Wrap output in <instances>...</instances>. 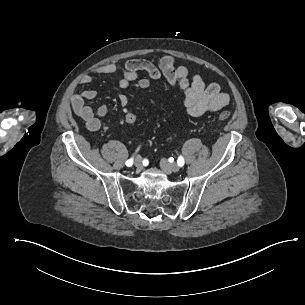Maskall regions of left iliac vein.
<instances>
[{
	"label": "left iliac vein",
	"instance_id": "obj_1",
	"mask_svg": "<svg viewBox=\"0 0 305 305\" xmlns=\"http://www.w3.org/2000/svg\"><path fill=\"white\" fill-rule=\"evenodd\" d=\"M160 167L167 174H170L171 172H178L180 170L179 165L168 163L165 159L160 160Z\"/></svg>",
	"mask_w": 305,
	"mask_h": 305
}]
</instances>
